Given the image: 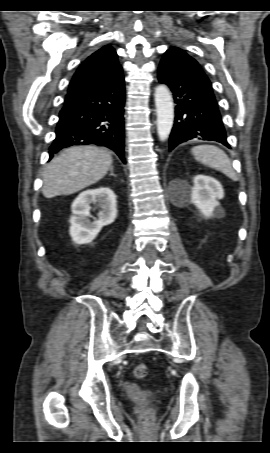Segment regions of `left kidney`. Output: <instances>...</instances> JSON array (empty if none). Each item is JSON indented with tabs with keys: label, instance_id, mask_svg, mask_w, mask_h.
<instances>
[{
	"label": "left kidney",
	"instance_id": "obj_1",
	"mask_svg": "<svg viewBox=\"0 0 270 453\" xmlns=\"http://www.w3.org/2000/svg\"><path fill=\"white\" fill-rule=\"evenodd\" d=\"M191 189L181 186L178 191L183 195L185 202L193 203L206 218L223 217L224 209L218 200L223 199L224 190L220 182L206 175H196Z\"/></svg>",
	"mask_w": 270,
	"mask_h": 453
}]
</instances>
